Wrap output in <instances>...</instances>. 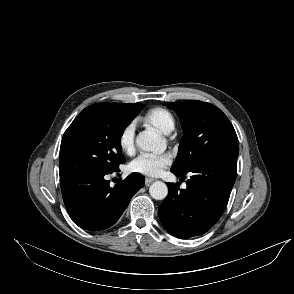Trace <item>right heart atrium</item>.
Returning <instances> with one entry per match:
<instances>
[{
  "mask_svg": "<svg viewBox=\"0 0 294 294\" xmlns=\"http://www.w3.org/2000/svg\"><path fill=\"white\" fill-rule=\"evenodd\" d=\"M136 123L126 124L118 136V144L122 152L131 154L135 148Z\"/></svg>",
  "mask_w": 294,
  "mask_h": 294,
  "instance_id": "1",
  "label": "right heart atrium"
}]
</instances>
